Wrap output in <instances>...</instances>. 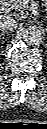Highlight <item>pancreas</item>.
<instances>
[{
	"label": "pancreas",
	"instance_id": "pancreas-1",
	"mask_svg": "<svg viewBox=\"0 0 47 129\" xmlns=\"http://www.w3.org/2000/svg\"><path fill=\"white\" fill-rule=\"evenodd\" d=\"M10 2L12 3L14 9L20 12H23L28 6L27 0H10Z\"/></svg>",
	"mask_w": 47,
	"mask_h": 129
}]
</instances>
